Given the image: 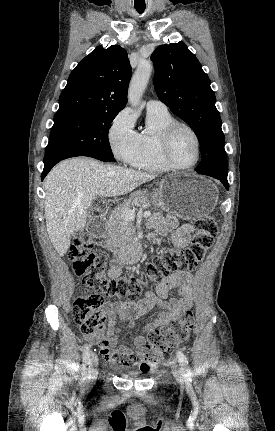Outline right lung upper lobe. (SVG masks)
<instances>
[{"label": "right lung upper lobe", "instance_id": "1", "mask_svg": "<svg viewBox=\"0 0 275 431\" xmlns=\"http://www.w3.org/2000/svg\"><path fill=\"white\" fill-rule=\"evenodd\" d=\"M131 66L125 49L98 46L71 72L56 113L80 110L120 112L127 103Z\"/></svg>", "mask_w": 275, "mask_h": 431}]
</instances>
